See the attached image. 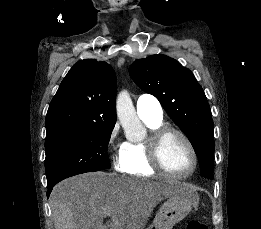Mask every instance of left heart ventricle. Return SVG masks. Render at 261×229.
<instances>
[{
  "instance_id": "obj_1",
  "label": "left heart ventricle",
  "mask_w": 261,
  "mask_h": 229,
  "mask_svg": "<svg viewBox=\"0 0 261 229\" xmlns=\"http://www.w3.org/2000/svg\"><path fill=\"white\" fill-rule=\"evenodd\" d=\"M162 155L166 166L175 173L184 174L192 167L191 153L178 136H171L166 140Z\"/></svg>"
}]
</instances>
